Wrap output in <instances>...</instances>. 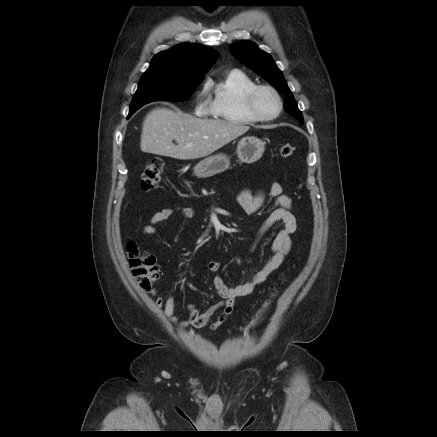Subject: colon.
Masks as SVG:
<instances>
[{"mask_svg":"<svg viewBox=\"0 0 437 437\" xmlns=\"http://www.w3.org/2000/svg\"><path fill=\"white\" fill-rule=\"evenodd\" d=\"M296 148L290 144L282 145L279 149L280 155L284 158L293 156ZM164 170V162L161 158H154L148 163L141 175V189L144 192H151L158 187L161 175ZM128 261L131 266L133 276L138 285L144 291H150L154 284L159 280L160 273L153 256L144 254L135 242H129L126 246ZM273 298L266 301L254 318L247 325L245 330L257 327L269 312Z\"/></svg>","mask_w":437,"mask_h":437,"instance_id":"obj_1","label":"colon"}]
</instances>
